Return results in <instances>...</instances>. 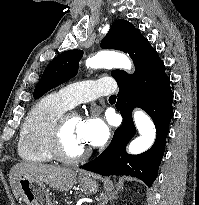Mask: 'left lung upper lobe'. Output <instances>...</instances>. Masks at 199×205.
I'll return each instance as SVG.
<instances>
[{
	"label": "left lung upper lobe",
	"instance_id": "left-lung-upper-lobe-1",
	"mask_svg": "<svg viewBox=\"0 0 199 205\" xmlns=\"http://www.w3.org/2000/svg\"><path fill=\"white\" fill-rule=\"evenodd\" d=\"M140 33L130 22L119 19L115 21L106 36L101 41L102 49H117L128 52L133 40ZM83 56L82 50H69L53 59L45 68L41 79L34 90V98L38 99L49 90L73 78ZM120 70L111 72L114 79Z\"/></svg>",
	"mask_w": 199,
	"mask_h": 205
}]
</instances>
